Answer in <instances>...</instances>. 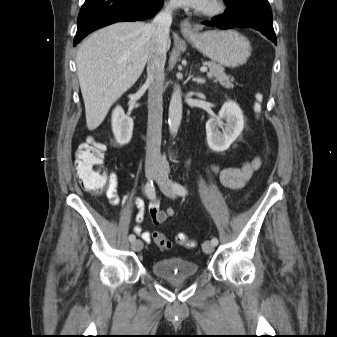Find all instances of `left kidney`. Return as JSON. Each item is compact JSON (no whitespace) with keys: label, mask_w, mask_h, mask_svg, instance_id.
I'll use <instances>...</instances> for the list:
<instances>
[{"label":"left kidney","mask_w":337,"mask_h":337,"mask_svg":"<svg viewBox=\"0 0 337 337\" xmlns=\"http://www.w3.org/2000/svg\"><path fill=\"white\" fill-rule=\"evenodd\" d=\"M226 121V123L223 122ZM222 129V132L219 131ZM244 127L243 113L237 103L227 101L219 114L206 123L207 143L215 152H223L239 137Z\"/></svg>","instance_id":"5707ae66"}]
</instances>
